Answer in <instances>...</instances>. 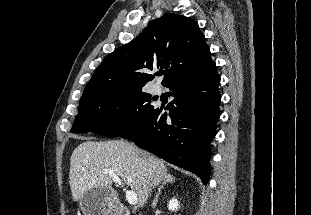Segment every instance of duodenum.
Wrapping results in <instances>:
<instances>
[{
    "instance_id": "410a0bca",
    "label": "duodenum",
    "mask_w": 311,
    "mask_h": 215,
    "mask_svg": "<svg viewBox=\"0 0 311 215\" xmlns=\"http://www.w3.org/2000/svg\"><path fill=\"white\" fill-rule=\"evenodd\" d=\"M115 213L116 215H131L130 211L125 206L117 207Z\"/></svg>"
}]
</instances>
